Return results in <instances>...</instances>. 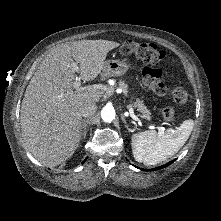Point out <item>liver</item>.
<instances>
[{
    "label": "liver",
    "instance_id": "liver-1",
    "mask_svg": "<svg viewBox=\"0 0 221 221\" xmlns=\"http://www.w3.org/2000/svg\"><path fill=\"white\" fill-rule=\"evenodd\" d=\"M119 45L102 39L64 43L42 60L20 111L23 140L38 161L55 167L74 154L81 137V108L97 103L104 94L96 88L73 90L76 71L72 64H77L80 79L94 80L103 71L108 52Z\"/></svg>",
    "mask_w": 221,
    "mask_h": 221
}]
</instances>
